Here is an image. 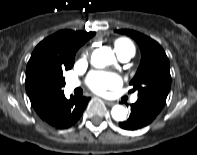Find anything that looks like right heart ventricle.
<instances>
[{"label": "right heart ventricle", "mask_w": 197, "mask_h": 155, "mask_svg": "<svg viewBox=\"0 0 197 155\" xmlns=\"http://www.w3.org/2000/svg\"><path fill=\"white\" fill-rule=\"evenodd\" d=\"M114 48L118 55L125 53V52H131L135 53V48L133 44L126 40V39H118L114 42Z\"/></svg>", "instance_id": "1"}]
</instances>
